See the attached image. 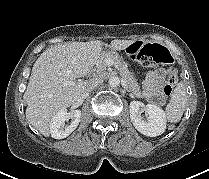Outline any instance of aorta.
<instances>
[{
  "mask_svg": "<svg viewBox=\"0 0 209 179\" xmlns=\"http://www.w3.org/2000/svg\"><path fill=\"white\" fill-rule=\"evenodd\" d=\"M120 84V79L117 76H112L109 79V85L112 88L118 87V85Z\"/></svg>",
  "mask_w": 209,
  "mask_h": 179,
  "instance_id": "762f6f07",
  "label": "aorta"
}]
</instances>
